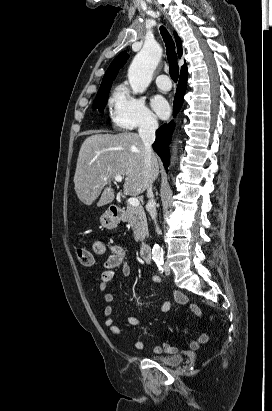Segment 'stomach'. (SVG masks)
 <instances>
[{
  "mask_svg": "<svg viewBox=\"0 0 272 411\" xmlns=\"http://www.w3.org/2000/svg\"><path fill=\"white\" fill-rule=\"evenodd\" d=\"M120 222V218L113 216L110 212H105L100 217L101 225L106 229H114Z\"/></svg>",
  "mask_w": 272,
  "mask_h": 411,
  "instance_id": "0dacf381",
  "label": "stomach"
}]
</instances>
